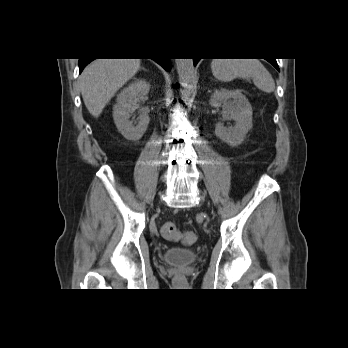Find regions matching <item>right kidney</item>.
<instances>
[{"label":"right kidney","mask_w":348,"mask_h":348,"mask_svg":"<svg viewBox=\"0 0 348 348\" xmlns=\"http://www.w3.org/2000/svg\"><path fill=\"white\" fill-rule=\"evenodd\" d=\"M149 91V83L145 80H136L117 95L116 104L113 107V118L118 131L128 140L141 139L147 130L150 121L148 112L142 111L135 124L129 119L131 113L138 108L139 97Z\"/></svg>","instance_id":"right-kidney-1"}]
</instances>
